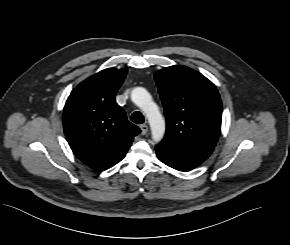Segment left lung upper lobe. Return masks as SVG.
<instances>
[{"instance_id": "obj_1", "label": "left lung upper lobe", "mask_w": 290, "mask_h": 245, "mask_svg": "<svg viewBox=\"0 0 290 245\" xmlns=\"http://www.w3.org/2000/svg\"><path fill=\"white\" fill-rule=\"evenodd\" d=\"M166 114L161 146L183 157L205 161L221 129L222 103L214 84L186 66H171L155 74Z\"/></svg>"}]
</instances>
